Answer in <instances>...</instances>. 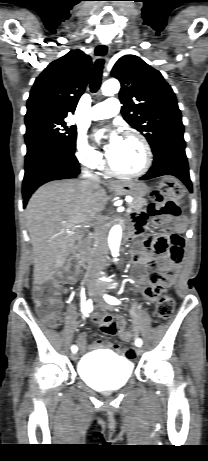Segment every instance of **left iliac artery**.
Returning a JSON list of instances; mask_svg holds the SVG:
<instances>
[{
    "label": "left iliac artery",
    "instance_id": "44dca946",
    "mask_svg": "<svg viewBox=\"0 0 208 461\" xmlns=\"http://www.w3.org/2000/svg\"><path fill=\"white\" fill-rule=\"evenodd\" d=\"M104 299L106 300L107 303L111 305H118L120 304V301L117 300L115 297L109 296V295H104ZM136 346L140 347L142 345V340L137 339L135 342Z\"/></svg>",
    "mask_w": 208,
    "mask_h": 461
}]
</instances>
